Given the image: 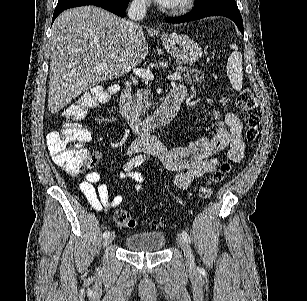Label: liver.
<instances>
[{
  "instance_id": "obj_1",
  "label": "liver",
  "mask_w": 307,
  "mask_h": 301,
  "mask_svg": "<svg viewBox=\"0 0 307 301\" xmlns=\"http://www.w3.org/2000/svg\"><path fill=\"white\" fill-rule=\"evenodd\" d=\"M126 22L99 6L67 8L55 18L49 44L50 112H58L102 80L127 74L146 58L142 26L130 34Z\"/></svg>"
}]
</instances>
